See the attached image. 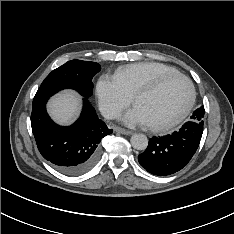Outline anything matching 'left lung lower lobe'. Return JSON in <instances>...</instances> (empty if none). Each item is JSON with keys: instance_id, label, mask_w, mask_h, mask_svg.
<instances>
[{"instance_id": "obj_1", "label": "left lung lower lobe", "mask_w": 234, "mask_h": 234, "mask_svg": "<svg viewBox=\"0 0 234 234\" xmlns=\"http://www.w3.org/2000/svg\"><path fill=\"white\" fill-rule=\"evenodd\" d=\"M202 133V123L188 121L172 134L152 137L147 149L138 156V161L153 175L173 174L191 160L199 146Z\"/></svg>"}]
</instances>
